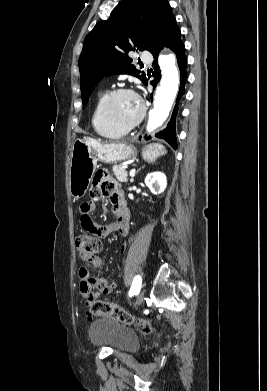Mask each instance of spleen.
Wrapping results in <instances>:
<instances>
[{
    "label": "spleen",
    "instance_id": "obj_1",
    "mask_svg": "<svg viewBox=\"0 0 267 391\" xmlns=\"http://www.w3.org/2000/svg\"><path fill=\"white\" fill-rule=\"evenodd\" d=\"M166 153V148L162 144L153 143L143 148L142 157L148 163H153L158 157L165 155Z\"/></svg>",
    "mask_w": 267,
    "mask_h": 391
}]
</instances>
